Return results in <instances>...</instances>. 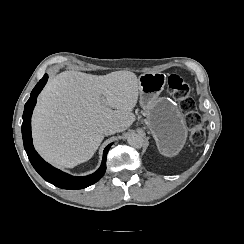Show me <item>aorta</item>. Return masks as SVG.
<instances>
[{
  "mask_svg": "<svg viewBox=\"0 0 244 244\" xmlns=\"http://www.w3.org/2000/svg\"><path fill=\"white\" fill-rule=\"evenodd\" d=\"M127 142L132 147L141 148L143 146L144 139L137 133H131L127 137Z\"/></svg>",
  "mask_w": 244,
  "mask_h": 244,
  "instance_id": "1",
  "label": "aorta"
}]
</instances>
